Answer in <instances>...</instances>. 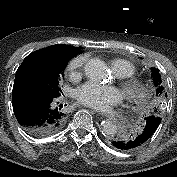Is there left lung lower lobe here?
<instances>
[{"label":"left lung lower lobe","mask_w":177,"mask_h":177,"mask_svg":"<svg viewBox=\"0 0 177 177\" xmlns=\"http://www.w3.org/2000/svg\"><path fill=\"white\" fill-rule=\"evenodd\" d=\"M161 122L160 116L151 114L145 118L143 130L135 137H118L112 141L114 147L120 150H132L142 146L155 132Z\"/></svg>","instance_id":"1"}]
</instances>
